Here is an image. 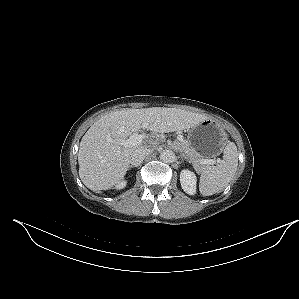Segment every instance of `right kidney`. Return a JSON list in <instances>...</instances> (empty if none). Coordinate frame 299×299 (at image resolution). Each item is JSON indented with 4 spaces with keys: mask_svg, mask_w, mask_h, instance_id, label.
I'll return each instance as SVG.
<instances>
[{
    "mask_svg": "<svg viewBox=\"0 0 299 299\" xmlns=\"http://www.w3.org/2000/svg\"><path fill=\"white\" fill-rule=\"evenodd\" d=\"M125 186H126V181H121L115 186V188L120 190L123 189Z\"/></svg>",
    "mask_w": 299,
    "mask_h": 299,
    "instance_id": "ca27d5eb",
    "label": "right kidney"
}]
</instances>
